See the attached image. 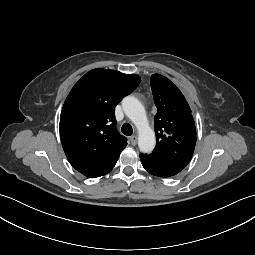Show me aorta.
I'll list each match as a JSON object with an SVG mask.
<instances>
[{"label":"aorta","mask_w":255,"mask_h":255,"mask_svg":"<svg viewBox=\"0 0 255 255\" xmlns=\"http://www.w3.org/2000/svg\"><path fill=\"white\" fill-rule=\"evenodd\" d=\"M122 107L126 116L138 129V146L141 152L151 153L155 147V134L149 127L146 111L141 102L133 97L127 96L122 100Z\"/></svg>","instance_id":"1"}]
</instances>
